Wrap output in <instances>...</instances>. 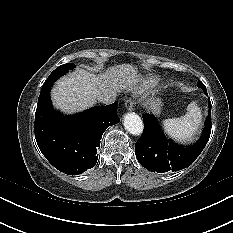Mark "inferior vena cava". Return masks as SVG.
<instances>
[{
  "mask_svg": "<svg viewBox=\"0 0 233 233\" xmlns=\"http://www.w3.org/2000/svg\"><path fill=\"white\" fill-rule=\"evenodd\" d=\"M116 94L109 93V94H101L98 96V101L103 104H111L115 101Z\"/></svg>",
  "mask_w": 233,
  "mask_h": 233,
  "instance_id": "602c4592",
  "label": "inferior vena cava"
}]
</instances>
